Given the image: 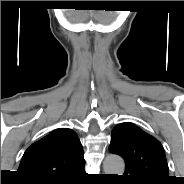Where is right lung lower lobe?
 Wrapping results in <instances>:
<instances>
[{
  "instance_id": "1",
  "label": "right lung lower lobe",
  "mask_w": 184,
  "mask_h": 184,
  "mask_svg": "<svg viewBox=\"0 0 184 184\" xmlns=\"http://www.w3.org/2000/svg\"><path fill=\"white\" fill-rule=\"evenodd\" d=\"M84 174V169L81 170L74 178L67 180V181H62V182H57L56 184H72V183H77V177L81 176Z\"/></svg>"
}]
</instances>
